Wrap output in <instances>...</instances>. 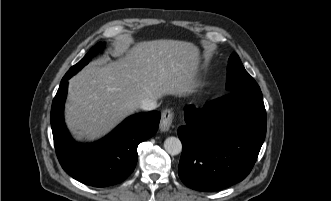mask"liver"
<instances>
[{
  "mask_svg": "<svg viewBox=\"0 0 331 201\" xmlns=\"http://www.w3.org/2000/svg\"><path fill=\"white\" fill-rule=\"evenodd\" d=\"M117 61L94 62L69 81L65 120L73 136L94 140L140 108L145 98L193 91L199 49L190 42L123 44Z\"/></svg>",
  "mask_w": 331,
  "mask_h": 201,
  "instance_id": "1",
  "label": "liver"
}]
</instances>
